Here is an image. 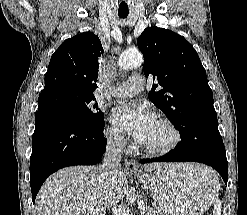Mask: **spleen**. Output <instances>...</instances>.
<instances>
[{
  "mask_svg": "<svg viewBox=\"0 0 247 215\" xmlns=\"http://www.w3.org/2000/svg\"><path fill=\"white\" fill-rule=\"evenodd\" d=\"M213 215H221V201L215 200Z\"/></svg>",
  "mask_w": 247,
  "mask_h": 215,
  "instance_id": "spleen-1",
  "label": "spleen"
}]
</instances>
